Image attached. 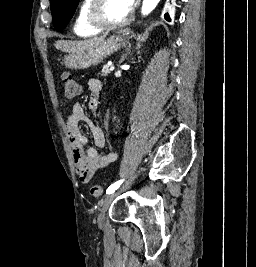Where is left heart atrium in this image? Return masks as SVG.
<instances>
[{"instance_id": "1", "label": "left heart atrium", "mask_w": 256, "mask_h": 267, "mask_svg": "<svg viewBox=\"0 0 256 267\" xmlns=\"http://www.w3.org/2000/svg\"><path fill=\"white\" fill-rule=\"evenodd\" d=\"M116 1L122 7L125 13L132 14L135 5V0H116Z\"/></svg>"}]
</instances>
